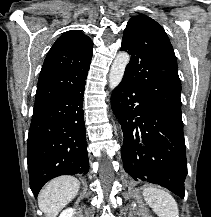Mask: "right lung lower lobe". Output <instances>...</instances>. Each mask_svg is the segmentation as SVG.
Listing matches in <instances>:
<instances>
[{
    "mask_svg": "<svg viewBox=\"0 0 211 217\" xmlns=\"http://www.w3.org/2000/svg\"><path fill=\"white\" fill-rule=\"evenodd\" d=\"M85 80L64 95L34 107L27 162L30 188L35 197L52 178L88 173L82 110Z\"/></svg>",
    "mask_w": 211,
    "mask_h": 217,
    "instance_id": "right-lung-lower-lobe-1",
    "label": "right lung lower lobe"
}]
</instances>
